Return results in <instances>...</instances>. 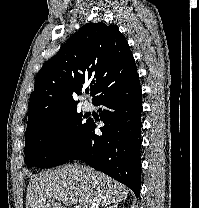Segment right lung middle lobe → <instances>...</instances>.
<instances>
[{"mask_svg": "<svg viewBox=\"0 0 199 208\" xmlns=\"http://www.w3.org/2000/svg\"><path fill=\"white\" fill-rule=\"evenodd\" d=\"M84 118L75 110L25 133V164L52 168L69 161L89 124Z\"/></svg>", "mask_w": 199, "mask_h": 208, "instance_id": "dd1d6c3e", "label": "right lung middle lobe"}]
</instances>
